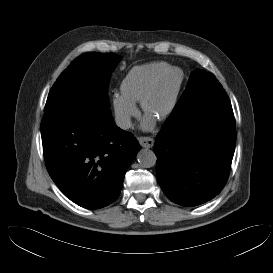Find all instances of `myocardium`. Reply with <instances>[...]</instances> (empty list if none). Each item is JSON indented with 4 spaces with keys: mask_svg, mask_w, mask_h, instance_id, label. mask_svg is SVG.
<instances>
[{
    "mask_svg": "<svg viewBox=\"0 0 273 273\" xmlns=\"http://www.w3.org/2000/svg\"><path fill=\"white\" fill-rule=\"evenodd\" d=\"M170 72H172L171 69H163L160 72H158L157 75L152 79V81L147 85V87L143 91L141 98H140V105H141L142 111L146 115V117L149 116V113L147 110V103H148V100H149L151 94L154 92V90L157 87L160 80L166 74H168ZM182 81H183L182 76L181 75L178 76L177 85H176V88H175V91H174V94H173V97L171 99L169 106L160 115H158L156 117V119H158V120L165 119V118L169 117L171 115V113L174 111L177 101H178L179 93L181 90Z\"/></svg>",
    "mask_w": 273,
    "mask_h": 273,
    "instance_id": "myocardium-1",
    "label": "myocardium"
}]
</instances>
